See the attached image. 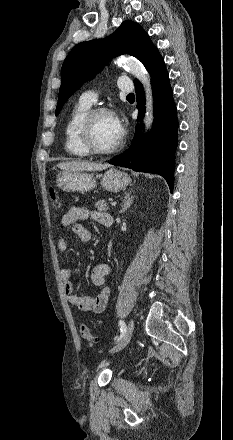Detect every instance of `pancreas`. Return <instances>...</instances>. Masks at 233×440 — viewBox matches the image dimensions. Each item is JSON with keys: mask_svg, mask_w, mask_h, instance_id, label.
<instances>
[{"mask_svg": "<svg viewBox=\"0 0 233 440\" xmlns=\"http://www.w3.org/2000/svg\"><path fill=\"white\" fill-rule=\"evenodd\" d=\"M94 206L99 212L109 210L108 204L105 202V200L96 202Z\"/></svg>", "mask_w": 233, "mask_h": 440, "instance_id": "pancreas-1", "label": "pancreas"}]
</instances>
